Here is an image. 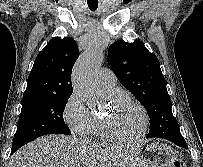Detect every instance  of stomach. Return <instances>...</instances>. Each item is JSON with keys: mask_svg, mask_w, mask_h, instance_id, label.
Instances as JSON below:
<instances>
[{"mask_svg": "<svg viewBox=\"0 0 203 167\" xmlns=\"http://www.w3.org/2000/svg\"><path fill=\"white\" fill-rule=\"evenodd\" d=\"M129 167H155L152 162L145 158H136Z\"/></svg>", "mask_w": 203, "mask_h": 167, "instance_id": "obj_1", "label": "stomach"}]
</instances>
